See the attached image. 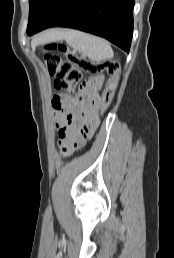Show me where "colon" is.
<instances>
[{"mask_svg":"<svg viewBox=\"0 0 174 258\" xmlns=\"http://www.w3.org/2000/svg\"><path fill=\"white\" fill-rule=\"evenodd\" d=\"M43 59L50 75L54 77L55 87L66 91L68 95H75L76 87L85 73L105 71L109 80L101 97L100 110L101 112L107 111L112 103L118 82L120 64L117 60L94 62L78 55L64 44L46 46Z\"/></svg>","mask_w":174,"mask_h":258,"instance_id":"colon-1","label":"colon"}]
</instances>
